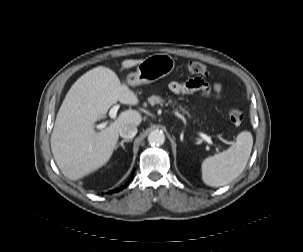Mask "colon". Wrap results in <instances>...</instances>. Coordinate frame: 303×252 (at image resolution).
<instances>
[{"label": "colon", "mask_w": 303, "mask_h": 252, "mask_svg": "<svg viewBox=\"0 0 303 252\" xmlns=\"http://www.w3.org/2000/svg\"><path fill=\"white\" fill-rule=\"evenodd\" d=\"M187 70L193 75H206L208 68L205 64L197 61H191L187 64ZM229 119L234 126H240L244 120V114L237 110H229Z\"/></svg>", "instance_id": "1"}]
</instances>
